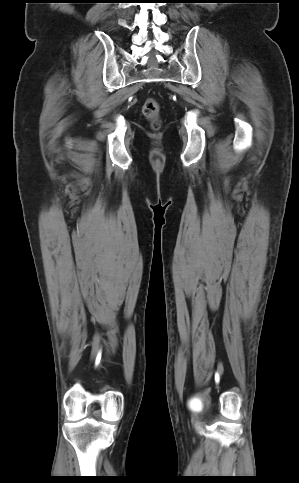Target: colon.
I'll use <instances>...</instances> for the list:
<instances>
[{
	"label": "colon",
	"mask_w": 299,
	"mask_h": 483,
	"mask_svg": "<svg viewBox=\"0 0 299 483\" xmlns=\"http://www.w3.org/2000/svg\"><path fill=\"white\" fill-rule=\"evenodd\" d=\"M143 114L152 123L153 128L157 129L160 126L159 120V104L154 98H147L143 105Z\"/></svg>",
	"instance_id": "5ec220e1"
}]
</instances>
